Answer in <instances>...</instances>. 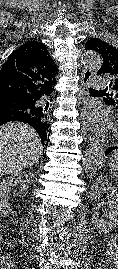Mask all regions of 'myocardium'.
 I'll return each instance as SVG.
<instances>
[{"instance_id":"1","label":"myocardium","mask_w":118,"mask_h":269,"mask_svg":"<svg viewBox=\"0 0 118 269\" xmlns=\"http://www.w3.org/2000/svg\"><path fill=\"white\" fill-rule=\"evenodd\" d=\"M114 130L118 133V120L114 124Z\"/></svg>"}]
</instances>
